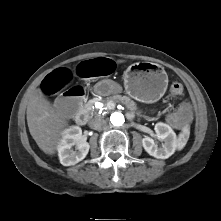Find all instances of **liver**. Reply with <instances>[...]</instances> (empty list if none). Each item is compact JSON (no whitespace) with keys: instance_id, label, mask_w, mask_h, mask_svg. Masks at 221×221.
Here are the masks:
<instances>
[{"instance_id":"1","label":"liver","mask_w":221,"mask_h":221,"mask_svg":"<svg viewBox=\"0 0 221 221\" xmlns=\"http://www.w3.org/2000/svg\"><path fill=\"white\" fill-rule=\"evenodd\" d=\"M123 62L125 61H117V63ZM26 113L32 138L45 154L54 155L68 122L55 111L39 89L30 96Z\"/></svg>"}]
</instances>
